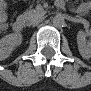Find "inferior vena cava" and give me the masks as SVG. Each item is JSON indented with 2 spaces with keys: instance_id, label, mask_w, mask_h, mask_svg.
Returning <instances> with one entry per match:
<instances>
[{
  "instance_id": "602c4592",
  "label": "inferior vena cava",
  "mask_w": 91,
  "mask_h": 91,
  "mask_svg": "<svg viewBox=\"0 0 91 91\" xmlns=\"http://www.w3.org/2000/svg\"><path fill=\"white\" fill-rule=\"evenodd\" d=\"M43 18L41 16L36 17L35 19L32 20L30 23L32 26H36L39 22H41Z\"/></svg>"
}]
</instances>
